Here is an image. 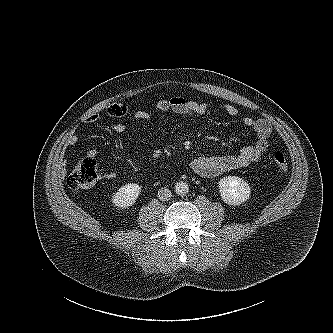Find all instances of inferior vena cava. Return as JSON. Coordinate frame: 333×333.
<instances>
[{"label":"inferior vena cava","instance_id":"obj_1","mask_svg":"<svg viewBox=\"0 0 333 333\" xmlns=\"http://www.w3.org/2000/svg\"><path fill=\"white\" fill-rule=\"evenodd\" d=\"M172 194L171 191L167 188H161L158 191V198L161 201H168L171 198Z\"/></svg>","mask_w":333,"mask_h":333}]
</instances>
